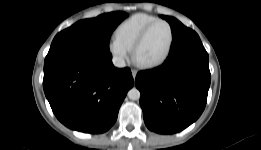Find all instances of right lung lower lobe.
Masks as SVG:
<instances>
[{
    "mask_svg": "<svg viewBox=\"0 0 261 150\" xmlns=\"http://www.w3.org/2000/svg\"><path fill=\"white\" fill-rule=\"evenodd\" d=\"M110 52L68 47L49 51L43 88L65 126L85 133L106 132L134 80L129 68L112 64Z\"/></svg>",
    "mask_w": 261,
    "mask_h": 150,
    "instance_id": "1",
    "label": "right lung lower lobe"
}]
</instances>
